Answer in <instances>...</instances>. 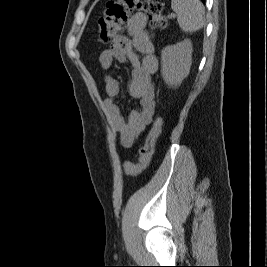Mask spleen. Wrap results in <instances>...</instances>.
<instances>
[{"label":"spleen","mask_w":267,"mask_h":267,"mask_svg":"<svg viewBox=\"0 0 267 267\" xmlns=\"http://www.w3.org/2000/svg\"><path fill=\"white\" fill-rule=\"evenodd\" d=\"M179 27L184 32H195L205 24V8L200 0H171Z\"/></svg>","instance_id":"1"}]
</instances>
